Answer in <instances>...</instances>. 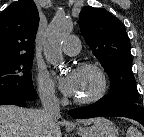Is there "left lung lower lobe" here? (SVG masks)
<instances>
[{
	"instance_id": "0a47b994",
	"label": "left lung lower lobe",
	"mask_w": 144,
	"mask_h": 137,
	"mask_svg": "<svg viewBox=\"0 0 144 137\" xmlns=\"http://www.w3.org/2000/svg\"><path fill=\"white\" fill-rule=\"evenodd\" d=\"M73 118H92L99 116L127 117L140 122L144 126V108L136 103H115L107 105L102 100L83 108L69 112Z\"/></svg>"
}]
</instances>
